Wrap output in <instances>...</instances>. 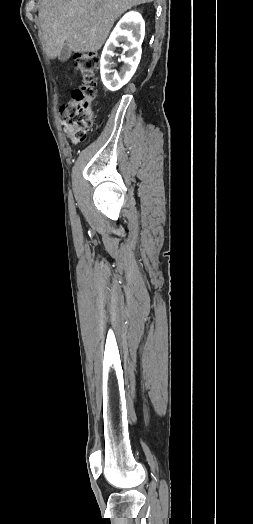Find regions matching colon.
Segmentation results:
<instances>
[{"instance_id": "obj_1", "label": "colon", "mask_w": 253, "mask_h": 524, "mask_svg": "<svg viewBox=\"0 0 253 524\" xmlns=\"http://www.w3.org/2000/svg\"><path fill=\"white\" fill-rule=\"evenodd\" d=\"M100 62L98 52L80 53L75 57L83 83L71 93L70 98L60 110V123L73 144L86 140L93 126V101L95 98V73Z\"/></svg>"}]
</instances>
